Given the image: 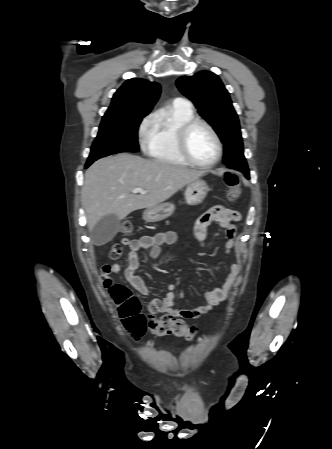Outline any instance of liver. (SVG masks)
Wrapping results in <instances>:
<instances>
[{"mask_svg": "<svg viewBox=\"0 0 332 449\" xmlns=\"http://www.w3.org/2000/svg\"><path fill=\"white\" fill-rule=\"evenodd\" d=\"M203 175L127 153L99 159L87 169L81 194L89 230L104 216L121 220L135 210L156 206ZM137 187L147 193H133Z\"/></svg>", "mask_w": 332, "mask_h": 449, "instance_id": "obj_1", "label": "liver"}]
</instances>
